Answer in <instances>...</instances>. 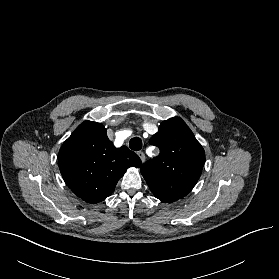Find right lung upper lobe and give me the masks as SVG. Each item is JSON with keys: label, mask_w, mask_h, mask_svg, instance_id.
<instances>
[{"label": "right lung upper lobe", "mask_w": 279, "mask_h": 279, "mask_svg": "<svg viewBox=\"0 0 279 279\" xmlns=\"http://www.w3.org/2000/svg\"><path fill=\"white\" fill-rule=\"evenodd\" d=\"M105 127L84 121L62 145L58 163L66 184L88 203L112 194L129 167H140V158L126 146L114 147Z\"/></svg>", "instance_id": "cb5924a9"}]
</instances>
